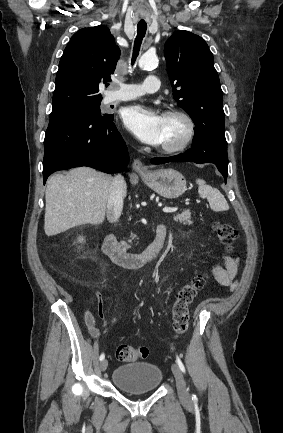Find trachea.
Segmentation results:
<instances>
[{
  "label": "trachea",
  "mask_w": 283,
  "mask_h": 433,
  "mask_svg": "<svg viewBox=\"0 0 283 433\" xmlns=\"http://www.w3.org/2000/svg\"><path fill=\"white\" fill-rule=\"evenodd\" d=\"M146 30H147V25H137V36L134 41L133 55L131 59L132 65L135 63V60L138 57L143 38L145 37L146 34Z\"/></svg>",
  "instance_id": "obj_1"
}]
</instances>
